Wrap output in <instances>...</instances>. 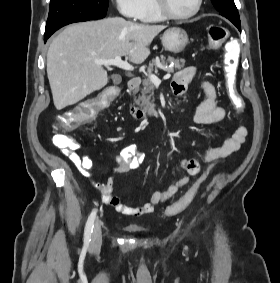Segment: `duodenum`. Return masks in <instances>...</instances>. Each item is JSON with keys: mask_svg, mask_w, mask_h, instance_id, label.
<instances>
[{"mask_svg": "<svg viewBox=\"0 0 280 283\" xmlns=\"http://www.w3.org/2000/svg\"><path fill=\"white\" fill-rule=\"evenodd\" d=\"M141 84V79L139 77H133L128 82V92L133 95L135 91L139 88ZM130 112L137 118V119H145L147 114L139 109L135 104L134 100L131 101L129 106Z\"/></svg>", "mask_w": 280, "mask_h": 283, "instance_id": "1", "label": "duodenum"}]
</instances>
